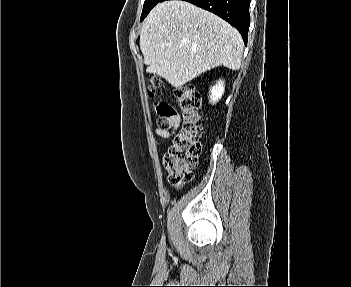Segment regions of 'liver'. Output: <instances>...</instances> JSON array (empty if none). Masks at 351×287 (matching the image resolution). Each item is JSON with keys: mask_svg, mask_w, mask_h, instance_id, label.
Returning a JSON list of instances; mask_svg holds the SVG:
<instances>
[{"mask_svg": "<svg viewBox=\"0 0 351 287\" xmlns=\"http://www.w3.org/2000/svg\"><path fill=\"white\" fill-rule=\"evenodd\" d=\"M140 49L148 73L181 88L215 67L238 70L244 44L238 30L215 14L169 0L157 4L146 17Z\"/></svg>", "mask_w": 351, "mask_h": 287, "instance_id": "6515ba94", "label": "liver"}]
</instances>
